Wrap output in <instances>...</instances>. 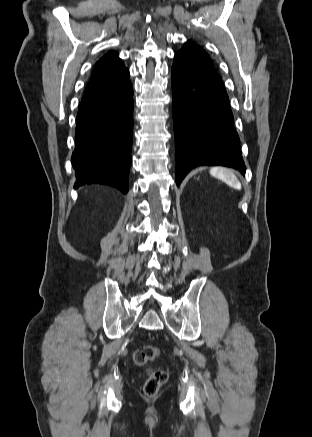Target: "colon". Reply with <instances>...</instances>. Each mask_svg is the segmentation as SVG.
Returning <instances> with one entry per match:
<instances>
[{
	"instance_id": "1",
	"label": "colon",
	"mask_w": 312,
	"mask_h": 437,
	"mask_svg": "<svg viewBox=\"0 0 312 437\" xmlns=\"http://www.w3.org/2000/svg\"><path fill=\"white\" fill-rule=\"evenodd\" d=\"M160 355L159 349L154 345H143L134 353V362L138 366H144L148 362L157 359ZM168 373L162 369H149L148 377L144 384V392L148 396H155L160 388L166 383Z\"/></svg>"
}]
</instances>
